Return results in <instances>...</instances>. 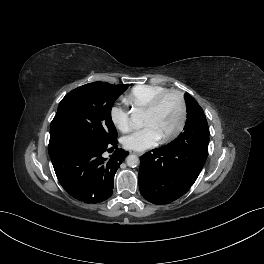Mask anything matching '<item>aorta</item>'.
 Instances as JSON below:
<instances>
[{"label": "aorta", "instance_id": "obj_1", "mask_svg": "<svg viewBox=\"0 0 264 264\" xmlns=\"http://www.w3.org/2000/svg\"><path fill=\"white\" fill-rule=\"evenodd\" d=\"M131 120L136 126L142 123V112L139 109H133L131 113ZM126 163L129 167H136L139 165V158L136 155H129L126 158Z\"/></svg>", "mask_w": 264, "mask_h": 264}]
</instances>
